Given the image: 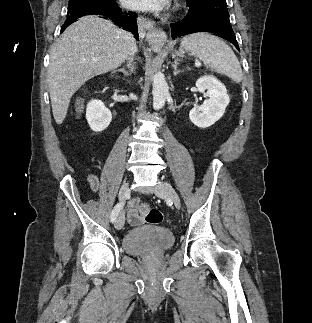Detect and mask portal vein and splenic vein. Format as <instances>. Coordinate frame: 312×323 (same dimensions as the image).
Masks as SVG:
<instances>
[{"mask_svg": "<svg viewBox=\"0 0 312 323\" xmlns=\"http://www.w3.org/2000/svg\"><path fill=\"white\" fill-rule=\"evenodd\" d=\"M92 62H97V60H92ZM196 66H200V62H196Z\"/></svg>", "mask_w": 312, "mask_h": 323, "instance_id": "18ae733b", "label": "portal vein and splenic vein"}]
</instances>
